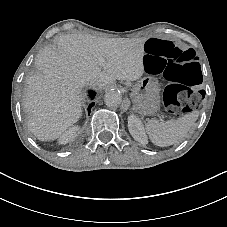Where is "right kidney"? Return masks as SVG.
<instances>
[{
	"label": "right kidney",
	"mask_w": 227,
	"mask_h": 227,
	"mask_svg": "<svg viewBox=\"0 0 227 227\" xmlns=\"http://www.w3.org/2000/svg\"><path fill=\"white\" fill-rule=\"evenodd\" d=\"M79 130L78 126H74L72 128H70L69 130H67L66 132H64L58 139V144H67L68 142H70L71 140H73L75 133Z\"/></svg>",
	"instance_id": "ca27d5eb"
}]
</instances>
